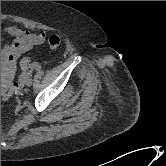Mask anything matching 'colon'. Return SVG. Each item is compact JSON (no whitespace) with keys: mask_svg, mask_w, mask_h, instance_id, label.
Listing matches in <instances>:
<instances>
[{"mask_svg":"<svg viewBox=\"0 0 166 166\" xmlns=\"http://www.w3.org/2000/svg\"><path fill=\"white\" fill-rule=\"evenodd\" d=\"M61 45V38L56 35H52L47 40V47L50 50H57ZM31 60L28 57H25L20 62V74L18 82H15L8 93L1 95V100L6 99L11 96L13 93L17 92L21 88V83L25 76L30 72Z\"/></svg>","mask_w":166,"mask_h":166,"instance_id":"5ec220e1","label":"colon"}]
</instances>
